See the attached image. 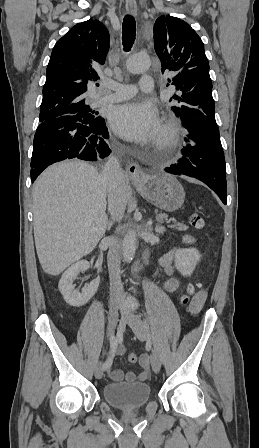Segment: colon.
<instances>
[{"label":"colon","instance_id":"obj_1","mask_svg":"<svg viewBox=\"0 0 259 448\" xmlns=\"http://www.w3.org/2000/svg\"><path fill=\"white\" fill-rule=\"evenodd\" d=\"M191 223L194 227L200 229L204 226V220L203 218L198 215V214H194L191 217ZM199 286L198 285H189L186 289L185 294L182 295L181 297V303L183 305H188L191 304L193 299L198 295L199 291ZM129 361L131 363H136L139 358L136 354L132 353L129 355L128 357Z\"/></svg>","mask_w":259,"mask_h":448}]
</instances>
